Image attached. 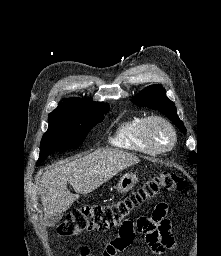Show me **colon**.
Listing matches in <instances>:
<instances>
[{
  "label": "colon",
  "instance_id": "colon-1",
  "mask_svg": "<svg viewBox=\"0 0 221 256\" xmlns=\"http://www.w3.org/2000/svg\"><path fill=\"white\" fill-rule=\"evenodd\" d=\"M185 180L176 173L163 171L145 181L129 195L107 204H93L70 212L57 227L60 236H75L84 232H100L112 228L130 227V214L161 190L181 192Z\"/></svg>",
  "mask_w": 221,
  "mask_h": 256
}]
</instances>
